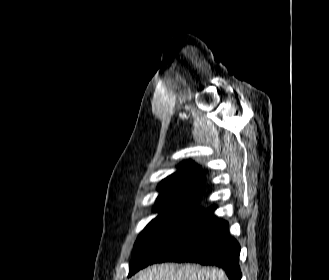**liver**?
<instances>
[{
  "label": "liver",
  "mask_w": 329,
  "mask_h": 280,
  "mask_svg": "<svg viewBox=\"0 0 329 280\" xmlns=\"http://www.w3.org/2000/svg\"><path fill=\"white\" fill-rule=\"evenodd\" d=\"M135 280H224L222 271L194 264L163 263L140 271Z\"/></svg>",
  "instance_id": "6515ba94"
}]
</instances>
